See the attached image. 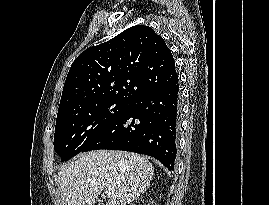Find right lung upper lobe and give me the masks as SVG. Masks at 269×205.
<instances>
[{
	"label": "right lung upper lobe",
	"mask_w": 269,
	"mask_h": 205,
	"mask_svg": "<svg viewBox=\"0 0 269 205\" xmlns=\"http://www.w3.org/2000/svg\"><path fill=\"white\" fill-rule=\"evenodd\" d=\"M177 83L174 58L164 39L148 26H133L75 59L57 119L104 101L129 103Z\"/></svg>",
	"instance_id": "obj_1"
}]
</instances>
